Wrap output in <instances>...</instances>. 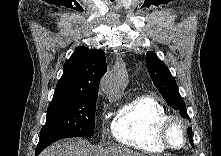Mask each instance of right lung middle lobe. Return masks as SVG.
<instances>
[{
  "mask_svg": "<svg viewBox=\"0 0 221 156\" xmlns=\"http://www.w3.org/2000/svg\"><path fill=\"white\" fill-rule=\"evenodd\" d=\"M97 95L52 101L48 107L46 123L40 132L36 155L59 139L92 136Z\"/></svg>",
  "mask_w": 221,
  "mask_h": 156,
  "instance_id": "1",
  "label": "right lung middle lobe"
}]
</instances>
